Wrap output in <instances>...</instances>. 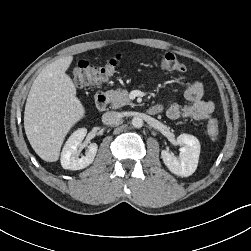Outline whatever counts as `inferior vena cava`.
Returning <instances> with one entry per match:
<instances>
[{"instance_id":"inferior-vena-cava-1","label":"inferior vena cava","mask_w":251,"mask_h":251,"mask_svg":"<svg viewBox=\"0 0 251 251\" xmlns=\"http://www.w3.org/2000/svg\"><path fill=\"white\" fill-rule=\"evenodd\" d=\"M120 120V116L117 112L109 111L103 114L102 122L106 125H114Z\"/></svg>"}]
</instances>
